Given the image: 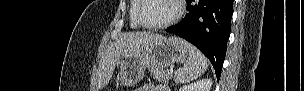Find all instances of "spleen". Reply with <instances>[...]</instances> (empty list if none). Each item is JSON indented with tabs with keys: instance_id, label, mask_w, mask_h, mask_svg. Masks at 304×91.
Masks as SVG:
<instances>
[{
	"instance_id": "1",
	"label": "spleen",
	"mask_w": 304,
	"mask_h": 91,
	"mask_svg": "<svg viewBox=\"0 0 304 91\" xmlns=\"http://www.w3.org/2000/svg\"><path fill=\"white\" fill-rule=\"evenodd\" d=\"M189 52V58L182 68L175 72L176 83H187L199 78L208 67L207 58L192 44L183 41Z\"/></svg>"
}]
</instances>
